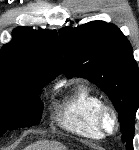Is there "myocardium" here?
<instances>
[{
	"instance_id": "obj_1",
	"label": "myocardium",
	"mask_w": 139,
	"mask_h": 150,
	"mask_svg": "<svg viewBox=\"0 0 139 150\" xmlns=\"http://www.w3.org/2000/svg\"><path fill=\"white\" fill-rule=\"evenodd\" d=\"M111 116L114 122V128L112 131H109L106 127V118ZM96 123L99 131L103 136H113L115 135L120 128L119 116L115 108L108 104H102L97 111Z\"/></svg>"
}]
</instances>
